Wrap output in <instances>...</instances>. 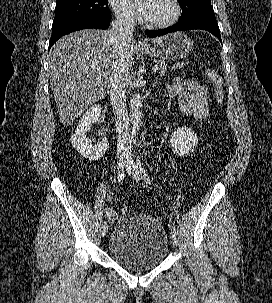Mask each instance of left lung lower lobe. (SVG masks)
I'll list each match as a JSON object with an SVG mask.
<instances>
[{
	"mask_svg": "<svg viewBox=\"0 0 272 303\" xmlns=\"http://www.w3.org/2000/svg\"><path fill=\"white\" fill-rule=\"evenodd\" d=\"M195 29L206 30L212 33L213 35H215L221 41L220 30L215 18L178 22L177 24H174L173 26H170L166 29L157 30V31L146 30L145 33L148 37L153 38L175 31L195 30Z\"/></svg>",
	"mask_w": 272,
	"mask_h": 303,
	"instance_id": "0a47b994",
	"label": "left lung lower lobe"
}]
</instances>
